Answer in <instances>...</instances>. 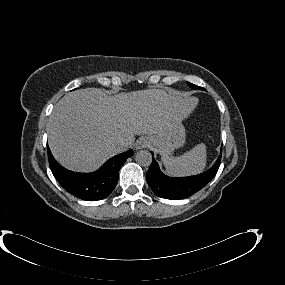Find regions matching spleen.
I'll return each instance as SVG.
<instances>
[{
  "label": "spleen",
  "instance_id": "spleen-1",
  "mask_svg": "<svg viewBox=\"0 0 285 285\" xmlns=\"http://www.w3.org/2000/svg\"><path fill=\"white\" fill-rule=\"evenodd\" d=\"M162 162L166 173L171 176H186L201 173L207 163L206 145L198 144L190 151L177 157L164 155L162 156Z\"/></svg>",
  "mask_w": 285,
  "mask_h": 285
}]
</instances>
